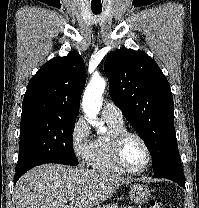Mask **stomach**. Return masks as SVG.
<instances>
[{"label":"stomach","instance_id":"stomach-1","mask_svg":"<svg viewBox=\"0 0 199 208\" xmlns=\"http://www.w3.org/2000/svg\"><path fill=\"white\" fill-rule=\"evenodd\" d=\"M129 196L132 202L141 204L150 198L151 192L144 184H133L130 186Z\"/></svg>","mask_w":199,"mask_h":208}]
</instances>
